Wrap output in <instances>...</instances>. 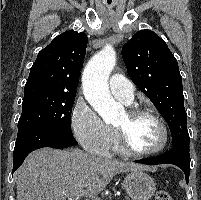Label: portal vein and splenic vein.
<instances>
[{
  "label": "portal vein and splenic vein",
  "instance_id": "1",
  "mask_svg": "<svg viewBox=\"0 0 201 200\" xmlns=\"http://www.w3.org/2000/svg\"><path fill=\"white\" fill-rule=\"evenodd\" d=\"M80 196H86V197L91 198L92 200H98L97 197H95L94 195H92V194H90V193H88V192H85V193H83V194H77V195H76V197H80ZM68 199H69V200H73V199L71 198V196H68Z\"/></svg>",
  "mask_w": 201,
  "mask_h": 200
}]
</instances>
